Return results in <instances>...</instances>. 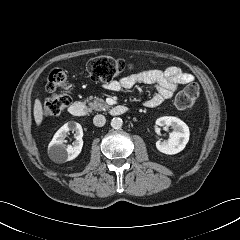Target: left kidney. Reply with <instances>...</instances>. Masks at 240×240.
I'll return each instance as SVG.
<instances>
[{
    "instance_id": "1",
    "label": "left kidney",
    "mask_w": 240,
    "mask_h": 240,
    "mask_svg": "<svg viewBox=\"0 0 240 240\" xmlns=\"http://www.w3.org/2000/svg\"><path fill=\"white\" fill-rule=\"evenodd\" d=\"M156 125L171 127L173 131L169 134L167 141L158 140L156 148L164 154H177L182 151L189 141V127L177 117L164 116L156 120Z\"/></svg>"
}]
</instances>
